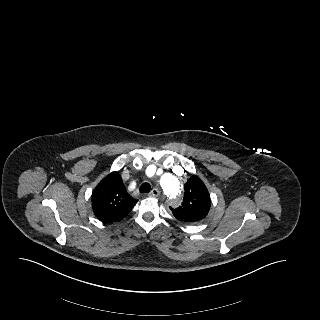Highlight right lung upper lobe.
<instances>
[{"mask_svg":"<svg viewBox=\"0 0 320 320\" xmlns=\"http://www.w3.org/2000/svg\"><path fill=\"white\" fill-rule=\"evenodd\" d=\"M91 202L95 216L104 223H112L122 220L137 200L127 193L121 176L115 171L95 187Z\"/></svg>","mask_w":320,"mask_h":320,"instance_id":"cb5924a9","label":"right lung upper lobe"}]
</instances>
